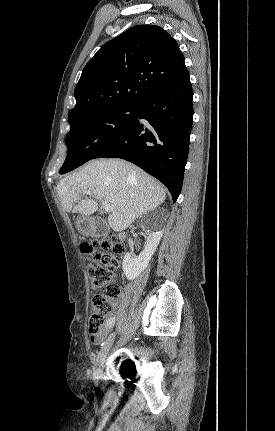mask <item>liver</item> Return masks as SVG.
Instances as JSON below:
<instances>
[{
    "instance_id": "liver-1",
    "label": "liver",
    "mask_w": 275,
    "mask_h": 431,
    "mask_svg": "<svg viewBox=\"0 0 275 431\" xmlns=\"http://www.w3.org/2000/svg\"><path fill=\"white\" fill-rule=\"evenodd\" d=\"M89 190L99 201L112 205L104 223L116 232L127 229L140 215L164 202V187L145 171L122 159H96L61 179L57 193L63 208L90 216L96 212L95 199H84ZM76 204V205H75Z\"/></svg>"
}]
</instances>
